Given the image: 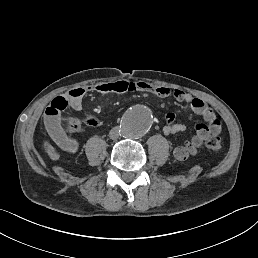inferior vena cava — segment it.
<instances>
[{
	"label": "inferior vena cava",
	"instance_id": "602c4592",
	"mask_svg": "<svg viewBox=\"0 0 258 258\" xmlns=\"http://www.w3.org/2000/svg\"><path fill=\"white\" fill-rule=\"evenodd\" d=\"M119 134H120V128L118 126H116L110 130L109 137L114 140L119 137Z\"/></svg>",
	"mask_w": 258,
	"mask_h": 258
}]
</instances>
